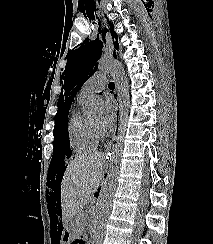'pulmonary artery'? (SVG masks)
<instances>
[{"label":"pulmonary artery","mask_w":213,"mask_h":244,"mask_svg":"<svg viewBox=\"0 0 213 244\" xmlns=\"http://www.w3.org/2000/svg\"><path fill=\"white\" fill-rule=\"evenodd\" d=\"M106 85L107 78L105 74H95L84 83L78 96L81 98H87L95 93L102 91Z\"/></svg>","instance_id":"1"}]
</instances>
